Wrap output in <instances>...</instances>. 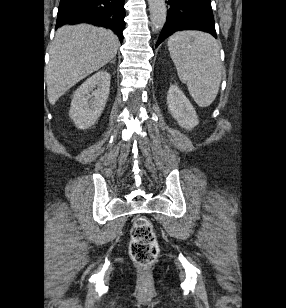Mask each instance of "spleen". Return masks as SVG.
Here are the masks:
<instances>
[{"instance_id": "obj_1", "label": "spleen", "mask_w": 286, "mask_h": 308, "mask_svg": "<svg viewBox=\"0 0 286 308\" xmlns=\"http://www.w3.org/2000/svg\"><path fill=\"white\" fill-rule=\"evenodd\" d=\"M167 44L180 81L187 85L198 106H210L222 77L218 42L202 31H179Z\"/></svg>"}]
</instances>
